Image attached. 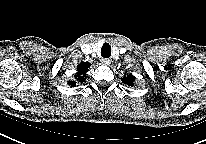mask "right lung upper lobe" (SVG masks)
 <instances>
[{"label":"right lung upper lobe","mask_w":206,"mask_h":144,"mask_svg":"<svg viewBox=\"0 0 206 144\" xmlns=\"http://www.w3.org/2000/svg\"><path fill=\"white\" fill-rule=\"evenodd\" d=\"M89 66H90V64L88 62L80 63L77 66L78 73L76 74L75 79H77L78 81H80L82 83L81 80L85 79V75H86V72L88 71ZM68 83L72 87H74L76 85V82H74V81H69Z\"/></svg>","instance_id":"cb5924a9"}]
</instances>
